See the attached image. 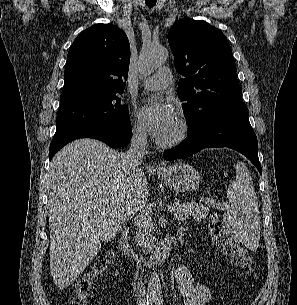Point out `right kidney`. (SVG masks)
<instances>
[{
	"label": "right kidney",
	"instance_id": "right-kidney-1",
	"mask_svg": "<svg viewBox=\"0 0 297 305\" xmlns=\"http://www.w3.org/2000/svg\"><path fill=\"white\" fill-rule=\"evenodd\" d=\"M117 275H118V272L116 271V272H115V276H117Z\"/></svg>",
	"mask_w": 297,
	"mask_h": 305
}]
</instances>
